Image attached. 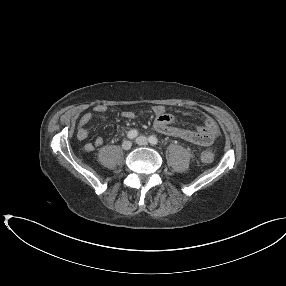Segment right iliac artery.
I'll list each match as a JSON object with an SVG mask.
<instances>
[{
	"label": "right iliac artery",
	"mask_w": 286,
	"mask_h": 286,
	"mask_svg": "<svg viewBox=\"0 0 286 286\" xmlns=\"http://www.w3.org/2000/svg\"><path fill=\"white\" fill-rule=\"evenodd\" d=\"M138 135V132L137 130L133 129V130H130L128 133H127V137L129 139H134L135 137H137Z\"/></svg>",
	"instance_id": "obj_1"
}]
</instances>
